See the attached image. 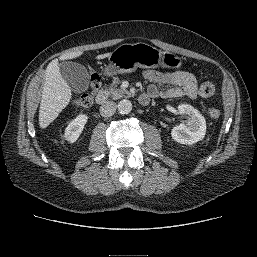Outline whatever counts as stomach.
<instances>
[{"label":"stomach","instance_id":"1","mask_svg":"<svg viewBox=\"0 0 257 257\" xmlns=\"http://www.w3.org/2000/svg\"><path fill=\"white\" fill-rule=\"evenodd\" d=\"M109 64L105 74H123L140 68H156L164 65L168 68H179L182 60L175 54L161 50L145 43L122 44L108 57Z\"/></svg>","mask_w":257,"mask_h":257}]
</instances>
